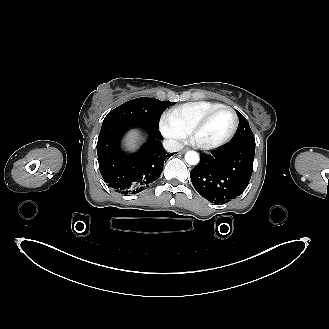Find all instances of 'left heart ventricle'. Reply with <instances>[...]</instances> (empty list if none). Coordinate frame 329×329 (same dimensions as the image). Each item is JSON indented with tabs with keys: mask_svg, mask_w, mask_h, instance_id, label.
Segmentation results:
<instances>
[{
	"mask_svg": "<svg viewBox=\"0 0 329 329\" xmlns=\"http://www.w3.org/2000/svg\"><path fill=\"white\" fill-rule=\"evenodd\" d=\"M233 122L232 113L228 110H223L213 116L210 121L199 130L196 139L204 143L221 141L230 133Z\"/></svg>",
	"mask_w": 329,
	"mask_h": 329,
	"instance_id": "left-heart-ventricle-1",
	"label": "left heart ventricle"
}]
</instances>
